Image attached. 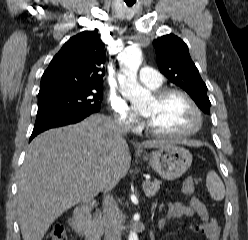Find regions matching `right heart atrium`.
<instances>
[{"instance_id": "d8ad5b80", "label": "right heart atrium", "mask_w": 248, "mask_h": 240, "mask_svg": "<svg viewBox=\"0 0 248 240\" xmlns=\"http://www.w3.org/2000/svg\"><path fill=\"white\" fill-rule=\"evenodd\" d=\"M110 108L117 122L129 129H135L138 126V117L121 97H112L110 99Z\"/></svg>"}]
</instances>
